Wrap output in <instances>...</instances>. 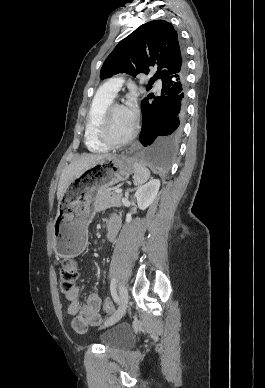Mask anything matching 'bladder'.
I'll return each mask as SVG.
<instances>
[{
    "label": "bladder",
    "instance_id": "1",
    "mask_svg": "<svg viewBox=\"0 0 265 388\" xmlns=\"http://www.w3.org/2000/svg\"><path fill=\"white\" fill-rule=\"evenodd\" d=\"M100 339L106 346H125L129 343L130 331L124 326H114L112 329L105 331Z\"/></svg>",
    "mask_w": 265,
    "mask_h": 388
}]
</instances>
